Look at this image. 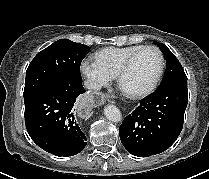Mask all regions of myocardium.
Masks as SVG:
<instances>
[{
	"mask_svg": "<svg viewBox=\"0 0 209 179\" xmlns=\"http://www.w3.org/2000/svg\"><path fill=\"white\" fill-rule=\"evenodd\" d=\"M147 50H154L158 53L159 57H160V68L158 71V74L156 75L155 79L152 81V83L146 87L143 90L137 91V92H126L123 90L122 88V80L124 78V76L127 74V72L130 70V68L132 67V65L134 64V62L137 60V58L145 51ZM165 66H166V60H165V56L163 54V52L161 51L160 48H158L157 46H153V45H148V46H144L143 48L139 49L138 51H136L134 54H132L121 66V68L119 69V71L117 72L115 79H116V83L118 85V87L130 98L133 99H138V98H144L148 95H150L151 93H153L155 91V89L157 88L163 74L165 71Z\"/></svg>",
	"mask_w": 209,
	"mask_h": 179,
	"instance_id": "1",
	"label": "myocardium"
}]
</instances>
